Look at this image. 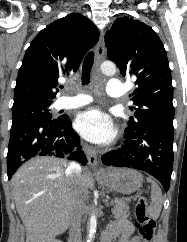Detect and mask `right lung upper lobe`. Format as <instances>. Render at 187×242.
Wrapping results in <instances>:
<instances>
[{
	"instance_id": "right-lung-upper-lobe-1",
	"label": "right lung upper lobe",
	"mask_w": 187,
	"mask_h": 242,
	"mask_svg": "<svg viewBox=\"0 0 187 242\" xmlns=\"http://www.w3.org/2000/svg\"><path fill=\"white\" fill-rule=\"evenodd\" d=\"M96 26L71 13L39 32L27 49L18 72L14 104L47 103L58 92V78L76 72L85 53L98 41Z\"/></svg>"
}]
</instances>
